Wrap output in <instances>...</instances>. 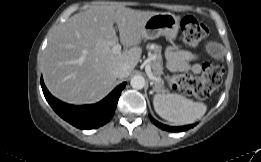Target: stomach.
Masks as SVG:
<instances>
[{
  "label": "stomach",
  "instance_id": "1",
  "mask_svg": "<svg viewBox=\"0 0 261 162\" xmlns=\"http://www.w3.org/2000/svg\"><path fill=\"white\" fill-rule=\"evenodd\" d=\"M143 30L145 39L165 36L167 41L173 42L179 30V18L172 13H157L145 21Z\"/></svg>",
  "mask_w": 261,
  "mask_h": 162
}]
</instances>
